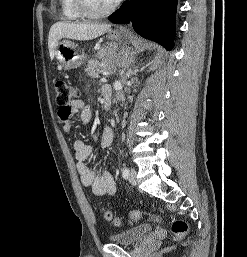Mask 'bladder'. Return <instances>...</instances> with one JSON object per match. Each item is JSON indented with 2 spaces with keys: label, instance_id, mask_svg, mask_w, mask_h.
I'll list each match as a JSON object with an SVG mask.
<instances>
[{
  "label": "bladder",
  "instance_id": "31cf9c89",
  "mask_svg": "<svg viewBox=\"0 0 247 257\" xmlns=\"http://www.w3.org/2000/svg\"><path fill=\"white\" fill-rule=\"evenodd\" d=\"M153 231L151 224H141L109 236L112 243L119 245H135L144 240Z\"/></svg>",
  "mask_w": 247,
  "mask_h": 257
}]
</instances>
